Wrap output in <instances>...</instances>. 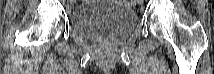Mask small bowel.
<instances>
[{
    "label": "small bowel",
    "mask_w": 214,
    "mask_h": 74,
    "mask_svg": "<svg viewBox=\"0 0 214 74\" xmlns=\"http://www.w3.org/2000/svg\"><path fill=\"white\" fill-rule=\"evenodd\" d=\"M124 3H125V4H129V2H127V1H125Z\"/></svg>",
    "instance_id": "c3829d8e"
}]
</instances>
